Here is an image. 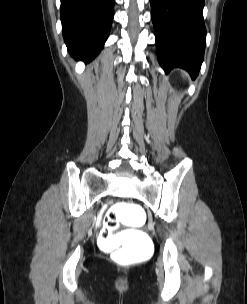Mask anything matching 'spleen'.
<instances>
[{"instance_id":"1","label":"spleen","mask_w":247,"mask_h":304,"mask_svg":"<svg viewBox=\"0 0 247 304\" xmlns=\"http://www.w3.org/2000/svg\"><path fill=\"white\" fill-rule=\"evenodd\" d=\"M183 75H185V76H186L187 74H186L185 72H183Z\"/></svg>"}]
</instances>
